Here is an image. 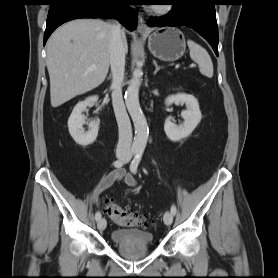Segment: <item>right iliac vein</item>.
<instances>
[{
  "mask_svg": "<svg viewBox=\"0 0 278 278\" xmlns=\"http://www.w3.org/2000/svg\"><path fill=\"white\" fill-rule=\"evenodd\" d=\"M118 158L119 159H124L125 154H123V153L118 154ZM106 225H107V223H106V220L104 218L99 219L98 222H97V227L101 231L106 228Z\"/></svg>",
  "mask_w": 278,
  "mask_h": 278,
  "instance_id": "right-iliac-vein-1",
  "label": "right iliac vein"
}]
</instances>
